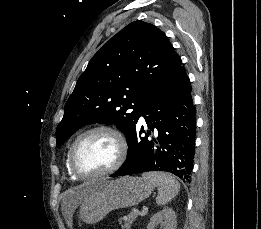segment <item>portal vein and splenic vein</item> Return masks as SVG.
I'll return each mask as SVG.
<instances>
[{"instance_id":"obj_1","label":"portal vein and splenic vein","mask_w":261,"mask_h":229,"mask_svg":"<svg viewBox=\"0 0 261 229\" xmlns=\"http://www.w3.org/2000/svg\"><path fill=\"white\" fill-rule=\"evenodd\" d=\"M134 213H137V215H139L140 218H143L144 215H147V206H143L142 210L140 208H137L136 211H134ZM124 219L126 221L128 217H124Z\"/></svg>"}]
</instances>
